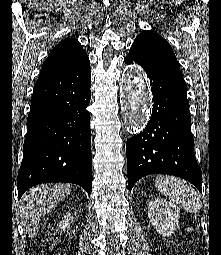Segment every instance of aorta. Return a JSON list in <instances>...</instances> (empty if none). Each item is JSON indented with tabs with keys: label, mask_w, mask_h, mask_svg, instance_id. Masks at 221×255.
<instances>
[{
	"label": "aorta",
	"mask_w": 221,
	"mask_h": 255,
	"mask_svg": "<svg viewBox=\"0 0 221 255\" xmlns=\"http://www.w3.org/2000/svg\"><path fill=\"white\" fill-rule=\"evenodd\" d=\"M121 103L129 130L133 133L140 132L149 119L151 95L137 66L131 67L123 83Z\"/></svg>",
	"instance_id": "1"
}]
</instances>
